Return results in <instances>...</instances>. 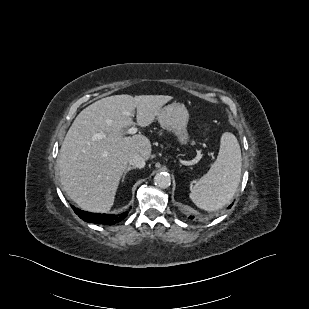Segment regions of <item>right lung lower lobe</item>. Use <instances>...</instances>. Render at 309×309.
I'll return each mask as SVG.
<instances>
[{
  "label": "right lung lower lobe",
  "mask_w": 309,
  "mask_h": 309,
  "mask_svg": "<svg viewBox=\"0 0 309 309\" xmlns=\"http://www.w3.org/2000/svg\"><path fill=\"white\" fill-rule=\"evenodd\" d=\"M71 207L82 220L97 224L113 225L117 222H120L128 215V212H124L119 215L90 213L77 209L73 206Z\"/></svg>",
  "instance_id": "obj_1"
}]
</instances>
